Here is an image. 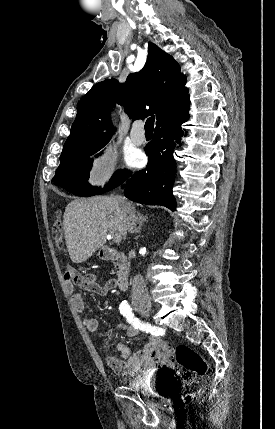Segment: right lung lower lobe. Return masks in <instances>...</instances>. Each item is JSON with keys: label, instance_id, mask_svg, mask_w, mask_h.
I'll return each instance as SVG.
<instances>
[{"label": "right lung lower lobe", "instance_id": "98d812e1", "mask_svg": "<svg viewBox=\"0 0 275 429\" xmlns=\"http://www.w3.org/2000/svg\"><path fill=\"white\" fill-rule=\"evenodd\" d=\"M188 119L189 114L156 126L153 140L145 147L147 167L133 175L128 172L124 179L127 180L124 194L128 199L148 205H162L172 211L176 209L172 194L176 172L173 150L181 145L184 134L181 124Z\"/></svg>", "mask_w": 275, "mask_h": 429}]
</instances>
